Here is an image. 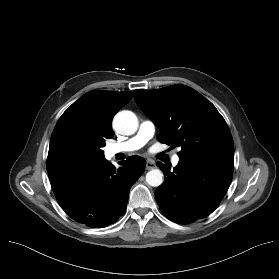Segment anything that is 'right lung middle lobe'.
Returning <instances> with one entry per match:
<instances>
[{"label": "right lung middle lobe", "instance_id": "1", "mask_svg": "<svg viewBox=\"0 0 279 279\" xmlns=\"http://www.w3.org/2000/svg\"><path fill=\"white\" fill-rule=\"evenodd\" d=\"M78 134H68L58 140L47 159L48 173L85 165L104 158L101 147Z\"/></svg>", "mask_w": 279, "mask_h": 279}]
</instances>
